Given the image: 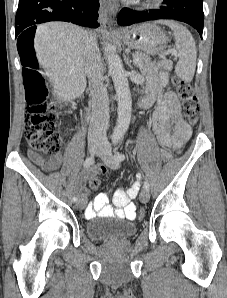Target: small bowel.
Returning a JSON list of instances; mask_svg holds the SVG:
<instances>
[{
    "mask_svg": "<svg viewBox=\"0 0 227 298\" xmlns=\"http://www.w3.org/2000/svg\"><path fill=\"white\" fill-rule=\"evenodd\" d=\"M166 83L167 76L164 72L152 77L147 85L146 95L141 99V102L145 108L155 104L152 114L153 132L164 155L168 156L169 151L180 149L188 141L191 135V127L184 120L182 108L176 94L171 91L162 93V88ZM28 155L37 166L45 171L54 170L62 164L60 154L52 156L50 160H46L32 150L28 152ZM92 175L93 171L87 169L80 174L77 180L80 197L85 203L88 195L85 183ZM139 187L140 183L137 181L127 190H116L113 195V205L109 204L108 193H99L86 207L85 217L91 219L98 215L134 219L136 214L132 200L136 197Z\"/></svg>",
    "mask_w": 227,
    "mask_h": 298,
    "instance_id": "c3829d8e",
    "label": "small bowel"
}]
</instances>
